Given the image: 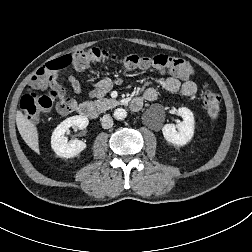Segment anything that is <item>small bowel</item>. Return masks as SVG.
Wrapping results in <instances>:
<instances>
[{"instance_id":"obj_1","label":"small bowel","mask_w":252,"mask_h":252,"mask_svg":"<svg viewBox=\"0 0 252 252\" xmlns=\"http://www.w3.org/2000/svg\"><path fill=\"white\" fill-rule=\"evenodd\" d=\"M66 80L73 88L76 94H81L83 87L79 79L72 75L66 74ZM120 80H111L107 78H101L99 81L94 83V88L90 92L91 97H101L106 94L113 85L119 84ZM160 86L172 93H179L182 96H193L197 92V85L192 80H185L181 82L178 78L174 76L163 77L159 80ZM59 86V85H58ZM60 87V86H59ZM61 88V87H60ZM144 99L148 101H153L157 98V91L154 88H146L143 92ZM76 107V102L73 99L65 98L63 101L57 102V109L62 114H68L73 111Z\"/></svg>"}]
</instances>
